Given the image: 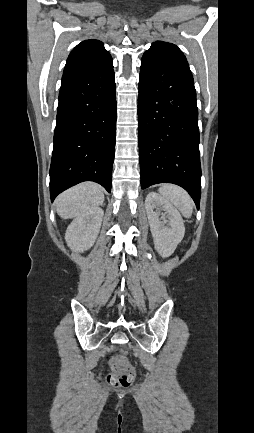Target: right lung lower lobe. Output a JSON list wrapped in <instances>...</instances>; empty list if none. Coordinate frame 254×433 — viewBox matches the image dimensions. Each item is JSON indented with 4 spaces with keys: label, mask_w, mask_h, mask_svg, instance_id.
Here are the masks:
<instances>
[{
    "label": "right lung lower lobe",
    "mask_w": 254,
    "mask_h": 433,
    "mask_svg": "<svg viewBox=\"0 0 254 433\" xmlns=\"http://www.w3.org/2000/svg\"><path fill=\"white\" fill-rule=\"evenodd\" d=\"M115 89L112 59L63 74L50 166L51 201L83 181L97 182L111 192Z\"/></svg>",
    "instance_id": "obj_1"
}]
</instances>
